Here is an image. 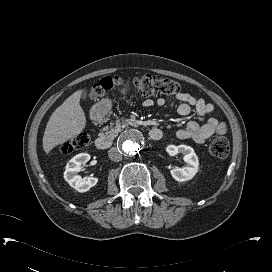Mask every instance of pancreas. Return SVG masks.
I'll list each match as a JSON object with an SVG mask.
<instances>
[{
  "label": "pancreas",
  "instance_id": "obj_1",
  "mask_svg": "<svg viewBox=\"0 0 272 272\" xmlns=\"http://www.w3.org/2000/svg\"><path fill=\"white\" fill-rule=\"evenodd\" d=\"M132 125L131 121L128 119H123L122 122L120 120H116L115 127L111 128L110 131H107V134L110 138H115L119 132H121L124 128Z\"/></svg>",
  "mask_w": 272,
  "mask_h": 272
}]
</instances>
